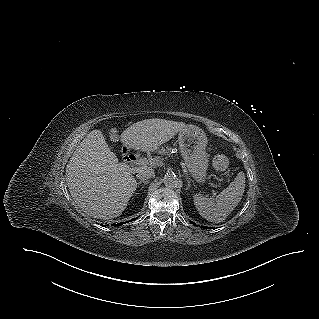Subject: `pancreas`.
Listing matches in <instances>:
<instances>
[{"label": "pancreas", "instance_id": "cf45deb5", "mask_svg": "<svg viewBox=\"0 0 319 319\" xmlns=\"http://www.w3.org/2000/svg\"><path fill=\"white\" fill-rule=\"evenodd\" d=\"M171 151V148H169L168 146L166 147H161L160 149L157 150V153L158 154H161V155H165V154H168L170 153Z\"/></svg>", "mask_w": 319, "mask_h": 319}]
</instances>
